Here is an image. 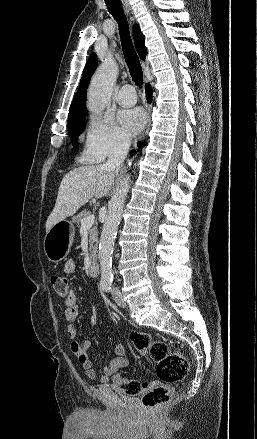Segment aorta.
Segmentation results:
<instances>
[{
  "instance_id": "aorta-1",
  "label": "aorta",
  "mask_w": 257,
  "mask_h": 439,
  "mask_svg": "<svg viewBox=\"0 0 257 439\" xmlns=\"http://www.w3.org/2000/svg\"><path fill=\"white\" fill-rule=\"evenodd\" d=\"M117 75L118 66L112 58L108 57L107 61L94 75L89 88L87 107L90 112L99 114L109 103ZM129 182L130 177L126 176L109 201L108 211L99 241L102 285H110L113 280V246L121 221L123 206L129 191Z\"/></svg>"
}]
</instances>
